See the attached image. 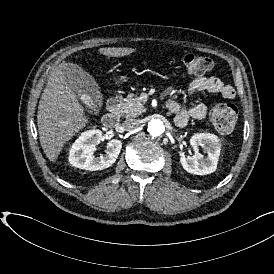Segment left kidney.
Masks as SVG:
<instances>
[{"instance_id":"obj_1","label":"left kidney","mask_w":274,"mask_h":274,"mask_svg":"<svg viewBox=\"0 0 274 274\" xmlns=\"http://www.w3.org/2000/svg\"><path fill=\"white\" fill-rule=\"evenodd\" d=\"M189 144L194 151L192 157L181 154L179 161L182 168L190 174L207 175L213 173L217 168V162L220 155V141L210 133H197L190 137ZM202 148L207 156L199 153Z\"/></svg>"}]
</instances>
